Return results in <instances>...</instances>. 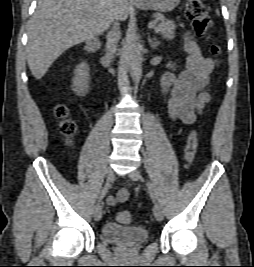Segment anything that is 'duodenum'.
I'll return each mask as SVG.
<instances>
[{"instance_id": "duodenum-1", "label": "duodenum", "mask_w": 254, "mask_h": 267, "mask_svg": "<svg viewBox=\"0 0 254 267\" xmlns=\"http://www.w3.org/2000/svg\"><path fill=\"white\" fill-rule=\"evenodd\" d=\"M100 48V42L98 40H90L85 46V51L88 53L96 52Z\"/></svg>"}]
</instances>
